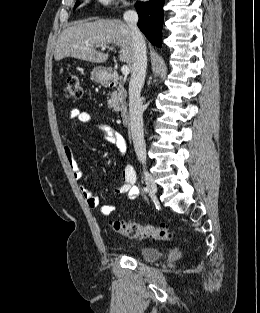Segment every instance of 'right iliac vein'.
<instances>
[{"instance_id": "63e3f726", "label": "right iliac vein", "mask_w": 260, "mask_h": 313, "mask_svg": "<svg viewBox=\"0 0 260 313\" xmlns=\"http://www.w3.org/2000/svg\"><path fill=\"white\" fill-rule=\"evenodd\" d=\"M144 180H145L149 195L151 197H154L156 195V192H157V185H156L153 177L151 176V174L148 173L147 171L144 172Z\"/></svg>"}]
</instances>
